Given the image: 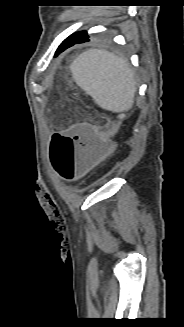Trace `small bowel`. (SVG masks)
<instances>
[{
	"mask_svg": "<svg viewBox=\"0 0 184 327\" xmlns=\"http://www.w3.org/2000/svg\"><path fill=\"white\" fill-rule=\"evenodd\" d=\"M70 129H72V127H71ZM65 131H66V130H65ZM65 131H63V132H61V133H59V134H56V135H66V134H65Z\"/></svg>",
	"mask_w": 184,
	"mask_h": 327,
	"instance_id": "c3829d8e",
	"label": "small bowel"
}]
</instances>
